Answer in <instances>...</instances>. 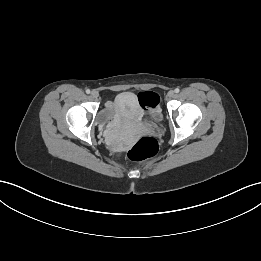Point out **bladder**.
<instances>
[{
    "instance_id": "bladder-1",
    "label": "bladder",
    "mask_w": 261,
    "mask_h": 261,
    "mask_svg": "<svg viewBox=\"0 0 261 261\" xmlns=\"http://www.w3.org/2000/svg\"><path fill=\"white\" fill-rule=\"evenodd\" d=\"M110 113L119 125H133L141 122L140 102L133 92L118 93L110 104ZM154 116L155 120H158L160 114Z\"/></svg>"
}]
</instances>
